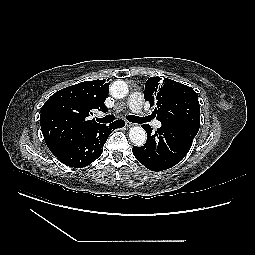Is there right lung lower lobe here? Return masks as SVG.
<instances>
[{
    "label": "right lung lower lobe",
    "mask_w": 255,
    "mask_h": 255,
    "mask_svg": "<svg viewBox=\"0 0 255 255\" xmlns=\"http://www.w3.org/2000/svg\"><path fill=\"white\" fill-rule=\"evenodd\" d=\"M124 125L123 120H117L109 126L101 124L89 128L75 136L54 155L67 166L75 168L85 167L100 157L103 152V145L110 133Z\"/></svg>",
    "instance_id": "1"
}]
</instances>
